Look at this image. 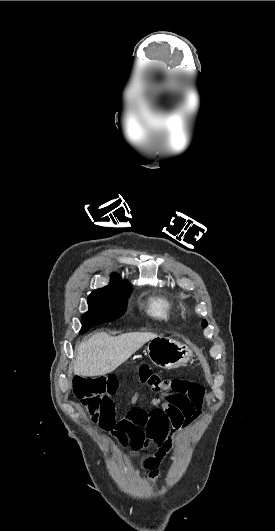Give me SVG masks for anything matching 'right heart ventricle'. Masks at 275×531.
Here are the masks:
<instances>
[{
	"label": "right heart ventricle",
	"mask_w": 275,
	"mask_h": 531,
	"mask_svg": "<svg viewBox=\"0 0 275 531\" xmlns=\"http://www.w3.org/2000/svg\"><path fill=\"white\" fill-rule=\"evenodd\" d=\"M147 306L149 313L160 320H169L176 310L175 302L157 290L148 296Z\"/></svg>",
	"instance_id": "obj_1"
}]
</instances>
